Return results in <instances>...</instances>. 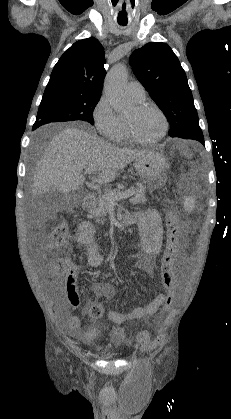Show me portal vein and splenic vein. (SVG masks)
Listing matches in <instances>:
<instances>
[{"label":"portal vein and splenic vein","instance_id":"1","mask_svg":"<svg viewBox=\"0 0 231 419\" xmlns=\"http://www.w3.org/2000/svg\"><path fill=\"white\" fill-rule=\"evenodd\" d=\"M93 172L92 169H86L85 170V174L90 175ZM133 195V191L132 190H127L125 192H118V193H108V199L110 200L111 203H114L115 201H118L120 199H124V198H128L130 196Z\"/></svg>","mask_w":231,"mask_h":419}]
</instances>
